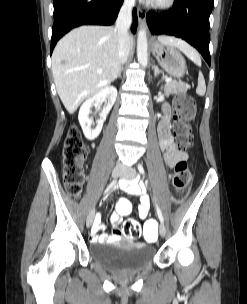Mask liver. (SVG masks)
I'll use <instances>...</instances> for the list:
<instances>
[{"label": "liver", "mask_w": 247, "mask_h": 304, "mask_svg": "<svg viewBox=\"0 0 247 304\" xmlns=\"http://www.w3.org/2000/svg\"><path fill=\"white\" fill-rule=\"evenodd\" d=\"M158 40L186 55L197 53L181 39L160 36ZM118 46V33L108 26H81L58 41L52 55V72L57 93L69 114L117 76L121 67Z\"/></svg>", "instance_id": "obj_1"}]
</instances>
